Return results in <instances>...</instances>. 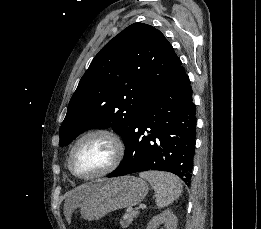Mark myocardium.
I'll use <instances>...</instances> for the list:
<instances>
[{
	"instance_id": "f54148a6",
	"label": "myocardium",
	"mask_w": 261,
	"mask_h": 229,
	"mask_svg": "<svg viewBox=\"0 0 261 229\" xmlns=\"http://www.w3.org/2000/svg\"><path fill=\"white\" fill-rule=\"evenodd\" d=\"M96 136L103 137L110 142L111 146L113 147V151H114L112 161L105 169H103L99 172L92 173V174L81 173L78 170H76L73 165L74 152L77 149V147L81 143H83L85 140L92 138V137H96ZM124 153H125V148H124L123 142L117 133H115L114 131H112L110 129H106V128L93 129L91 131L86 132L81 137H79L76 140V142L72 145V147L70 149V153H69V158H68V167H69L70 171L79 178L93 179V178L104 176L106 174L113 172L120 165V163L124 157Z\"/></svg>"
}]
</instances>
